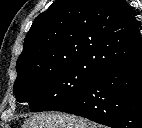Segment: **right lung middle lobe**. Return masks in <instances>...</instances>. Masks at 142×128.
<instances>
[{
    "instance_id": "1",
    "label": "right lung middle lobe",
    "mask_w": 142,
    "mask_h": 128,
    "mask_svg": "<svg viewBox=\"0 0 142 128\" xmlns=\"http://www.w3.org/2000/svg\"><path fill=\"white\" fill-rule=\"evenodd\" d=\"M95 75L83 66H66L39 71L16 79L17 102H28L32 112L56 110L86 90Z\"/></svg>"
}]
</instances>
